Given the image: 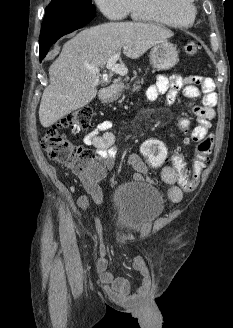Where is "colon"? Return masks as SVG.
Returning a JSON list of instances; mask_svg holds the SVG:
<instances>
[{"mask_svg":"<svg viewBox=\"0 0 233 328\" xmlns=\"http://www.w3.org/2000/svg\"><path fill=\"white\" fill-rule=\"evenodd\" d=\"M199 50L200 45L194 41L185 45V52L189 56L196 55ZM93 115L92 109L88 107L73 111L47 128L40 139L43 150L51 160L67 166L84 179L99 176L101 166L91 149L70 142L64 130L69 129L75 135L86 131L91 126ZM178 125L184 133H187L189 122L186 119L178 120ZM212 149L213 136L209 134L198 142L192 165L187 167L180 153H175L168 159L167 148L160 140L151 138L141 146V152L151 166L158 167L168 161L177 173L180 187L185 191L196 188L201 172L211 163Z\"/></svg>","mask_w":233,"mask_h":328,"instance_id":"5ec220e1","label":"colon"}]
</instances>
